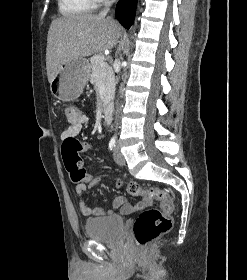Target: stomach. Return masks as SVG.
Wrapping results in <instances>:
<instances>
[{"mask_svg":"<svg viewBox=\"0 0 247 280\" xmlns=\"http://www.w3.org/2000/svg\"><path fill=\"white\" fill-rule=\"evenodd\" d=\"M91 68L86 58H74L63 64L50 83L53 95L63 102L77 99L88 83Z\"/></svg>","mask_w":247,"mask_h":280,"instance_id":"stomach-1","label":"stomach"}]
</instances>
